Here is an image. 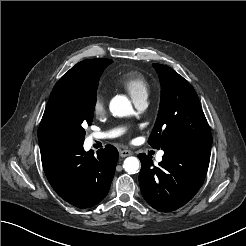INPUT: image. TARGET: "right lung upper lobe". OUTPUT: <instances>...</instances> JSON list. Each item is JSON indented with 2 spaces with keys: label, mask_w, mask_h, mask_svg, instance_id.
I'll return each mask as SVG.
<instances>
[{
  "label": "right lung upper lobe",
  "mask_w": 246,
  "mask_h": 246,
  "mask_svg": "<svg viewBox=\"0 0 246 246\" xmlns=\"http://www.w3.org/2000/svg\"><path fill=\"white\" fill-rule=\"evenodd\" d=\"M95 60L97 59H88L85 61H82L78 64H76L73 68H71L64 76H62L60 78V80L55 84L50 98L48 100L43 118L41 120V124L38 130V139H41L42 137L46 136L47 134L44 132V123L45 120L47 119L48 116V112H49V108H50V104H51V100L53 98V96L55 95V93H57L59 90L69 87L75 83H77L78 81H80L86 74V71L88 70L89 66L91 63H93Z\"/></svg>",
  "instance_id": "obj_1"
}]
</instances>
